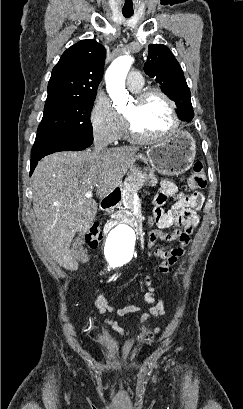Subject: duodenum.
Listing matches in <instances>:
<instances>
[{
    "label": "duodenum",
    "mask_w": 243,
    "mask_h": 409,
    "mask_svg": "<svg viewBox=\"0 0 243 409\" xmlns=\"http://www.w3.org/2000/svg\"><path fill=\"white\" fill-rule=\"evenodd\" d=\"M120 201V191L118 189H114L110 192L100 203V207L102 210H108L115 207ZM127 224H129L133 229H137V223L134 220H128ZM114 224L109 223L106 225L105 230L108 231L112 228Z\"/></svg>",
    "instance_id": "410a0bca"
}]
</instances>
